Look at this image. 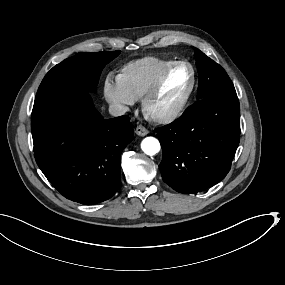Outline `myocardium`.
I'll use <instances>...</instances> for the list:
<instances>
[{
    "mask_svg": "<svg viewBox=\"0 0 285 285\" xmlns=\"http://www.w3.org/2000/svg\"><path fill=\"white\" fill-rule=\"evenodd\" d=\"M178 72L182 73L181 67H175V68L170 67L159 77L156 83L141 96L140 104H141V109L143 112H146L151 99L161 91V89L163 88L167 80L173 74L178 73ZM190 77H191V80L189 83L188 90L186 91L181 102L175 108L168 110L158 116H154V118L157 121L159 122L172 121L184 111V109L186 108V106L188 105L190 101V98H191V95H192V92L195 86V76H194V72L191 69H190Z\"/></svg>",
    "mask_w": 285,
    "mask_h": 285,
    "instance_id": "1",
    "label": "myocardium"
}]
</instances>
